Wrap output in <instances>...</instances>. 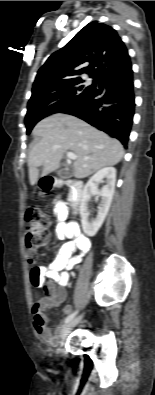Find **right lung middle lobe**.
<instances>
[{
  "label": "right lung middle lobe",
  "mask_w": 155,
  "mask_h": 395,
  "mask_svg": "<svg viewBox=\"0 0 155 395\" xmlns=\"http://www.w3.org/2000/svg\"><path fill=\"white\" fill-rule=\"evenodd\" d=\"M95 81L99 82L98 80ZM95 89V83L87 85L84 80L77 79L50 85L32 95L28 102V111L25 117L27 134L44 117L62 112Z\"/></svg>",
  "instance_id": "right-lung-middle-lobe-1"
}]
</instances>
